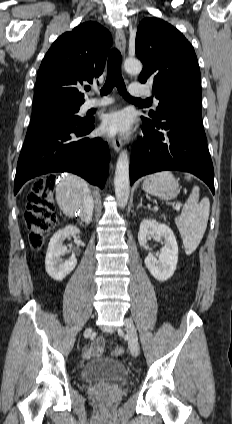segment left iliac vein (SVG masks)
<instances>
[{"label": "left iliac vein", "instance_id": "1", "mask_svg": "<svg viewBox=\"0 0 232 424\" xmlns=\"http://www.w3.org/2000/svg\"><path fill=\"white\" fill-rule=\"evenodd\" d=\"M125 330L128 338L130 352L134 357H137L139 353L138 334L132 320L125 319Z\"/></svg>", "mask_w": 232, "mask_h": 424}]
</instances>
